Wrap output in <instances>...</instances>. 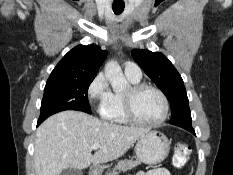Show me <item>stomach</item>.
Listing matches in <instances>:
<instances>
[{
  "mask_svg": "<svg viewBox=\"0 0 233 175\" xmlns=\"http://www.w3.org/2000/svg\"><path fill=\"white\" fill-rule=\"evenodd\" d=\"M170 151V142L159 131H148L137 140L135 152L137 158L148 165H156L166 159ZM92 175H100L94 171Z\"/></svg>",
  "mask_w": 233,
  "mask_h": 175,
  "instance_id": "stomach-1",
  "label": "stomach"
}]
</instances>
